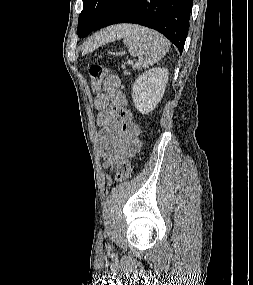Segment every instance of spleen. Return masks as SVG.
<instances>
[{
  "label": "spleen",
  "mask_w": 253,
  "mask_h": 285,
  "mask_svg": "<svg viewBox=\"0 0 253 285\" xmlns=\"http://www.w3.org/2000/svg\"><path fill=\"white\" fill-rule=\"evenodd\" d=\"M129 53L139 58L134 69L147 68L158 62L168 52L170 42L157 31L134 25L122 36Z\"/></svg>",
  "instance_id": "obj_1"
}]
</instances>
